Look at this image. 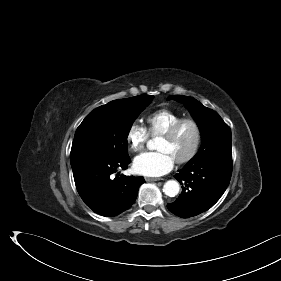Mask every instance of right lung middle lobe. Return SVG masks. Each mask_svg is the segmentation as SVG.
<instances>
[{"instance_id":"dd1d6c3e","label":"right lung middle lobe","mask_w":281,"mask_h":281,"mask_svg":"<svg viewBox=\"0 0 281 281\" xmlns=\"http://www.w3.org/2000/svg\"><path fill=\"white\" fill-rule=\"evenodd\" d=\"M153 97L139 95L119 99L89 113L76 130L70 153L71 166L92 160L127 158L131 126Z\"/></svg>"}]
</instances>
